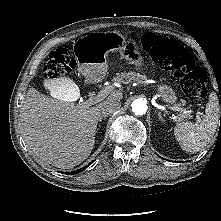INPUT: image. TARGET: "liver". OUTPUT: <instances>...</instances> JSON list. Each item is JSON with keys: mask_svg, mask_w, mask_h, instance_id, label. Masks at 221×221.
I'll return each instance as SVG.
<instances>
[{"mask_svg": "<svg viewBox=\"0 0 221 221\" xmlns=\"http://www.w3.org/2000/svg\"><path fill=\"white\" fill-rule=\"evenodd\" d=\"M67 80L69 90L79 91L72 80ZM46 86L51 87L50 83ZM122 97L120 91H113L104 101L91 106L50 97L30 88L21 107L25 142L43 161L61 169L73 168L93 149L104 103L120 101Z\"/></svg>", "mask_w": 221, "mask_h": 221, "instance_id": "6515ba94", "label": "liver"}]
</instances>
